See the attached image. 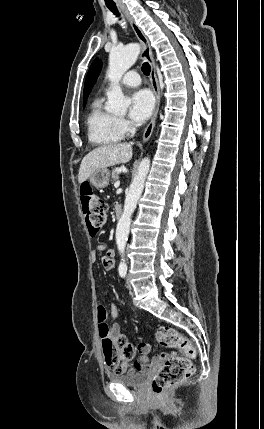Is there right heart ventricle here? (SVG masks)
<instances>
[{"instance_id": "1", "label": "right heart ventricle", "mask_w": 264, "mask_h": 429, "mask_svg": "<svg viewBox=\"0 0 264 429\" xmlns=\"http://www.w3.org/2000/svg\"><path fill=\"white\" fill-rule=\"evenodd\" d=\"M89 141L98 146H108L122 140L124 131L120 119L108 112L101 99H96L87 117Z\"/></svg>"}]
</instances>
